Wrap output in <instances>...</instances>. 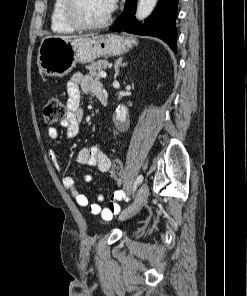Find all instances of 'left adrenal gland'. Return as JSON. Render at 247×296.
I'll return each mask as SVG.
<instances>
[{"instance_id": "1", "label": "left adrenal gland", "mask_w": 247, "mask_h": 296, "mask_svg": "<svg viewBox=\"0 0 247 296\" xmlns=\"http://www.w3.org/2000/svg\"><path fill=\"white\" fill-rule=\"evenodd\" d=\"M127 63H123L122 64V58H119L115 64V77H117L119 75V67H124L126 66Z\"/></svg>"}]
</instances>
